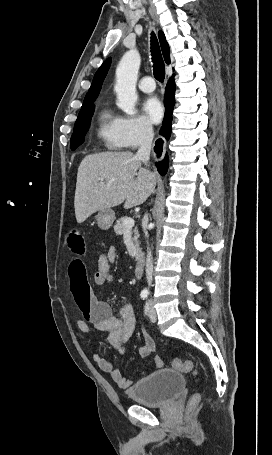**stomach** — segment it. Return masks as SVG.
I'll list each match as a JSON object with an SVG mask.
<instances>
[{
    "label": "stomach",
    "mask_w": 272,
    "mask_h": 455,
    "mask_svg": "<svg viewBox=\"0 0 272 455\" xmlns=\"http://www.w3.org/2000/svg\"><path fill=\"white\" fill-rule=\"evenodd\" d=\"M96 219L98 226L102 230H108L115 220V213L111 209L101 210L98 212Z\"/></svg>",
    "instance_id": "stomach-1"
}]
</instances>
